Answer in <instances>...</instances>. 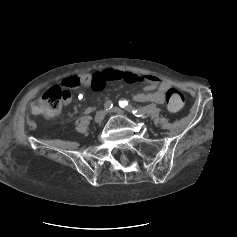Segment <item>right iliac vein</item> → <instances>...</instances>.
Segmentation results:
<instances>
[{"instance_id": "63e3f726", "label": "right iliac vein", "mask_w": 237, "mask_h": 237, "mask_svg": "<svg viewBox=\"0 0 237 237\" xmlns=\"http://www.w3.org/2000/svg\"><path fill=\"white\" fill-rule=\"evenodd\" d=\"M103 119H104V112L98 111L94 117L95 123L100 124L103 121Z\"/></svg>"}]
</instances>
